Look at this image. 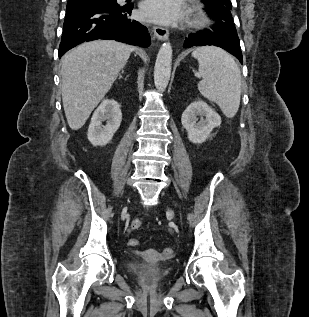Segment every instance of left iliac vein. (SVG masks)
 <instances>
[{"mask_svg": "<svg viewBox=\"0 0 309 317\" xmlns=\"http://www.w3.org/2000/svg\"><path fill=\"white\" fill-rule=\"evenodd\" d=\"M167 213H168L169 215L174 216V211H173L172 209H168V210H167Z\"/></svg>", "mask_w": 309, "mask_h": 317, "instance_id": "1", "label": "left iliac vein"}]
</instances>
